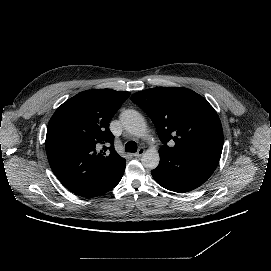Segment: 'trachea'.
I'll return each instance as SVG.
<instances>
[{
	"mask_svg": "<svg viewBox=\"0 0 271 271\" xmlns=\"http://www.w3.org/2000/svg\"><path fill=\"white\" fill-rule=\"evenodd\" d=\"M125 150L127 152H136L137 151V143L135 141H128L125 145Z\"/></svg>",
	"mask_w": 271,
	"mask_h": 271,
	"instance_id": "3493384b",
	"label": "trachea"
}]
</instances>
